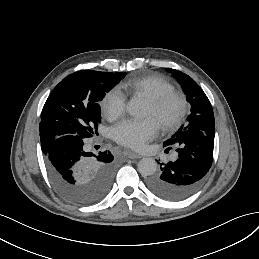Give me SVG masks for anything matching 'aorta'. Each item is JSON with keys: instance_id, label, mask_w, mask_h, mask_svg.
<instances>
[{"instance_id": "1", "label": "aorta", "mask_w": 259, "mask_h": 259, "mask_svg": "<svg viewBox=\"0 0 259 259\" xmlns=\"http://www.w3.org/2000/svg\"><path fill=\"white\" fill-rule=\"evenodd\" d=\"M127 112L134 117H141L144 113V105L137 99H131L127 106ZM157 170V162L153 158H143L138 163V171L142 176L153 175Z\"/></svg>"}]
</instances>
